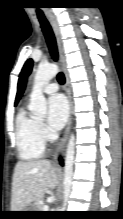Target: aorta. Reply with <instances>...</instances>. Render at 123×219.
<instances>
[{
  "label": "aorta",
  "mask_w": 123,
  "mask_h": 219,
  "mask_svg": "<svg viewBox=\"0 0 123 219\" xmlns=\"http://www.w3.org/2000/svg\"><path fill=\"white\" fill-rule=\"evenodd\" d=\"M59 68L56 64L40 65L34 77V83L31 93L29 110L36 117H44L47 113V103L43 94V87L53 77L57 75ZM75 154V136L70 135L65 157L64 166V194L65 199L68 198L71 190L72 177H73V164Z\"/></svg>",
  "instance_id": "762f6f07"
}]
</instances>
